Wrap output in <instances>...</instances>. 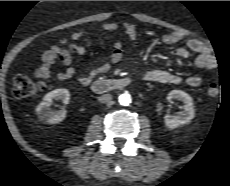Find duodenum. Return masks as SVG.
I'll return each mask as SVG.
<instances>
[{
  "label": "duodenum",
  "instance_id": "1",
  "mask_svg": "<svg viewBox=\"0 0 230 186\" xmlns=\"http://www.w3.org/2000/svg\"><path fill=\"white\" fill-rule=\"evenodd\" d=\"M132 79L129 77L115 79H101L92 83V90L96 93H105L113 90L123 89L131 85Z\"/></svg>",
  "mask_w": 230,
  "mask_h": 186
}]
</instances>
